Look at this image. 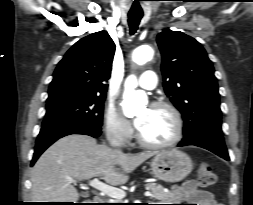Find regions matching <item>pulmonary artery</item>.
I'll return each mask as SVG.
<instances>
[{"instance_id": "obj_1", "label": "pulmonary artery", "mask_w": 253, "mask_h": 205, "mask_svg": "<svg viewBox=\"0 0 253 205\" xmlns=\"http://www.w3.org/2000/svg\"><path fill=\"white\" fill-rule=\"evenodd\" d=\"M138 84L141 88L152 90L157 85V75L154 71L147 70L141 75Z\"/></svg>"}]
</instances>
